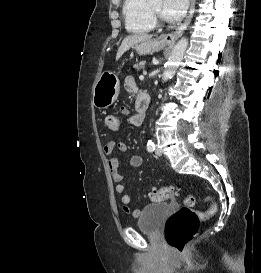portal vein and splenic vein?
Returning a JSON list of instances; mask_svg holds the SVG:
<instances>
[{"instance_id": "1", "label": "portal vein and splenic vein", "mask_w": 261, "mask_h": 273, "mask_svg": "<svg viewBox=\"0 0 261 273\" xmlns=\"http://www.w3.org/2000/svg\"><path fill=\"white\" fill-rule=\"evenodd\" d=\"M139 79H140V80H143V79H144V76H143V75H141V76L139 77Z\"/></svg>"}]
</instances>
